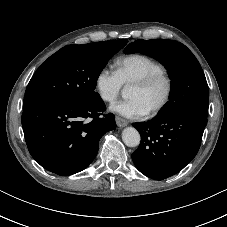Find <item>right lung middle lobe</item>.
I'll use <instances>...</instances> for the list:
<instances>
[{"instance_id":"right-lung-middle-lobe-1","label":"right lung middle lobe","mask_w":227,"mask_h":227,"mask_svg":"<svg viewBox=\"0 0 227 227\" xmlns=\"http://www.w3.org/2000/svg\"><path fill=\"white\" fill-rule=\"evenodd\" d=\"M127 40L68 45L50 56L35 72L25 92L23 109L51 101L88 102L108 60Z\"/></svg>"}]
</instances>
